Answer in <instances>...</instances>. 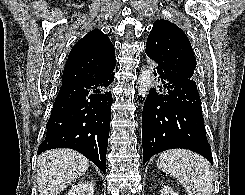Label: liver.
Wrapping results in <instances>:
<instances>
[{
	"label": "liver",
	"mask_w": 245,
	"mask_h": 195,
	"mask_svg": "<svg viewBox=\"0 0 245 195\" xmlns=\"http://www.w3.org/2000/svg\"><path fill=\"white\" fill-rule=\"evenodd\" d=\"M89 161L71 149H53L42 153L37 162L39 195H57L85 174Z\"/></svg>",
	"instance_id": "6515ba94"
}]
</instances>
